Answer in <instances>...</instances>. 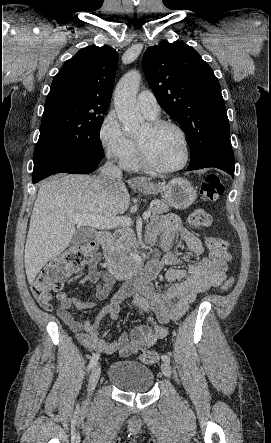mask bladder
I'll list each match as a JSON object with an SVG mask.
<instances>
[{"instance_id":"31cf9c89","label":"bladder","mask_w":271,"mask_h":443,"mask_svg":"<svg viewBox=\"0 0 271 443\" xmlns=\"http://www.w3.org/2000/svg\"><path fill=\"white\" fill-rule=\"evenodd\" d=\"M108 379L119 389L135 394L146 393L154 384L153 371L135 360H119L108 370Z\"/></svg>"}]
</instances>
